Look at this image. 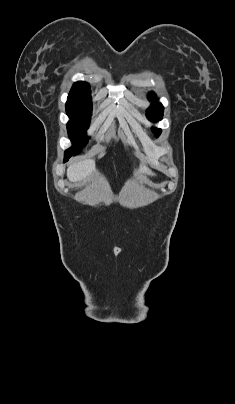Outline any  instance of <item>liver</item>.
<instances>
[{
    "mask_svg": "<svg viewBox=\"0 0 235 404\" xmlns=\"http://www.w3.org/2000/svg\"><path fill=\"white\" fill-rule=\"evenodd\" d=\"M96 171L95 162L92 159H86L70 165L67 169V177L72 182L86 180L92 173ZM139 173L150 176L155 175L146 166H141Z\"/></svg>",
    "mask_w": 235,
    "mask_h": 404,
    "instance_id": "6515ba94",
    "label": "liver"
}]
</instances>
